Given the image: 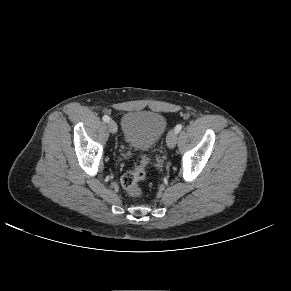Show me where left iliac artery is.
Masks as SVG:
<instances>
[{
    "label": "left iliac artery",
    "instance_id": "obj_1",
    "mask_svg": "<svg viewBox=\"0 0 291 291\" xmlns=\"http://www.w3.org/2000/svg\"><path fill=\"white\" fill-rule=\"evenodd\" d=\"M181 129H182V125L181 124H178L175 127V132L178 134L181 131Z\"/></svg>",
    "mask_w": 291,
    "mask_h": 291
}]
</instances>
